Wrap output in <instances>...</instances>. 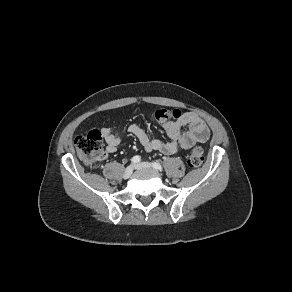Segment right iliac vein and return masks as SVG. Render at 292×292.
<instances>
[{"instance_id": "63e3f726", "label": "right iliac vein", "mask_w": 292, "mask_h": 292, "mask_svg": "<svg viewBox=\"0 0 292 292\" xmlns=\"http://www.w3.org/2000/svg\"><path fill=\"white\" fill-rule=\"evenodd\" d=\"M133 172V166L129 165L123 172V178L128 179Z\"/></svg>"}]
</instances>
